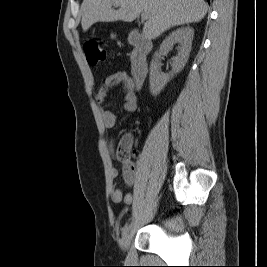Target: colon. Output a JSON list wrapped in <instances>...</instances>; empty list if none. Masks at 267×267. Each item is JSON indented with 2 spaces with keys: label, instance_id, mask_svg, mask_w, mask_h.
Masks as SVG:
<instances>
[{
  "label": "colon",
  "instance_id": "colon-1",
  "mask_svg": "<svg viewBox=\"0 0 267 267\" xmlns=\"http://www.w3.org/2000/svg\"><path fill=\"white\" fill-rule=\"evenodd\" d=\"M84 51L88 63L92 66H95L106 59L105 49L96 41L86 42ZM133 153L131 139L128 137L122 138L117 148V158L122 162H126L130 160Z\"/></svg>",
  "mask_w": 267,
  "mask_h": 267
}]
</instances>
